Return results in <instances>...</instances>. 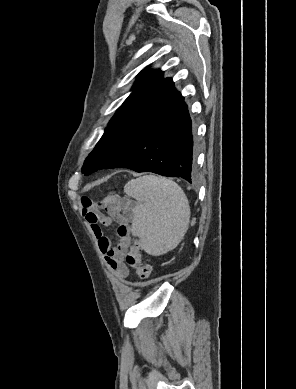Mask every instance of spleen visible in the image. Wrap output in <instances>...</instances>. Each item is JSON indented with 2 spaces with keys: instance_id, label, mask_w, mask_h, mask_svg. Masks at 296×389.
<instances>
[{
  "instance_id": "spleen-1",
  "label": "spleen",
  "mask_w": 296,
  "mask_h": 389,
  "mask_svg": "<svg viewBox=\"0 0 296 389\" xmlns=\"http://www.w3.org/2000/svg\"><path fill=\"white\" fill-rule=\"evenodd\" d=\"M124 192L137 200L133 209L132 235L152 256L165 254L183 239L189 225L187 197L174 181L155 175L132 179Z\"/></svg>"
}]
</instances>
